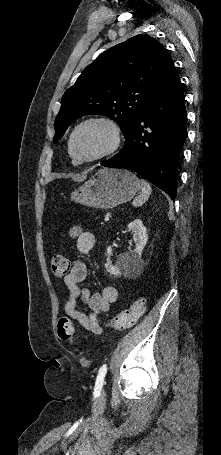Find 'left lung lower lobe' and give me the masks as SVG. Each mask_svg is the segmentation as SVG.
I'll use <instances>...</instances> for the list:
<instances>
[{
	"label": "left lung lower lobe",
	"mask_w": 221,
	"mask_h": 455,
	"mask_svg": "<svg viewBox=\"0 0 221 455\" xmlns=\"http://www.w3.org/2000/svg\"><path fill=\"white\" fill-rule=\"evenodd\" d=\"M186 120L182 85L174 68L139 112L124 148L101 165L133 170L174 200Z\"/></svg>",
	"instance_id": "left-lung-lower-lobe-1"
}]
</instances>
